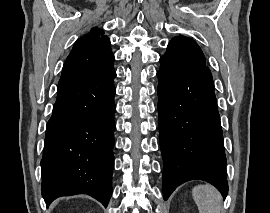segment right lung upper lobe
I'll use <instances>...</instances> for the list:
<instances>
[{"instance_id":"cb5924a9","label":"right lung upper lobe","mask_w":270,"mask_h":213,"mask_svg":"<svg viewBox=\"0 0 270 213\" xmlns=\"http://www.w3.org/2000/svg\"><path fill=\"white\" fill-rule=\"evenodd\" d=\"M113 62L109 38L95 27L75 42L64 63L58 89L106 76L114 71Z\"/></svg>"}]
</instances>
